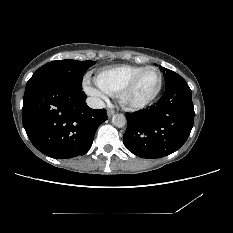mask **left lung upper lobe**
Returning a JSON list of instances; mask_svg holds the SVG:
<instances>
[{"mask_svg":"<svg viewBox=\"0 0 233 233\" xmlns=\"http://www.w3.org/2000/svg\"><path fill=\"white\" fill-rule=\"evenodd\" d=\"M160 68L163 71L166 89L173 86L174 84H176L178 82L185 81L180 75L173 72L172 70L165 69L162 66H160Z\"/></svg>","mask_w":233,"mask_h":233,"instance_id":"1","label":"left lung upper lobe"}]
</instances>
